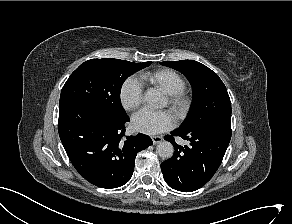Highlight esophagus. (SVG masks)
Returning a JSON list of instances; mask_svg holds the SVG:
<instances>
[{"label": "esophagus", "mask_w": 292, "mask_h": 224, "mask_svg": "<svg viewBox=\"0 0 292 224\" xmlns=\"http://www.w3.org/2000/svg\"><path fill=\"white\" fill-rule=\"evenodd\" d=\"M152 141H153V144H158L160 142H162L163 138L161 136H152Z\"/></svg>", "instance_id": "1"}]
</instances>
